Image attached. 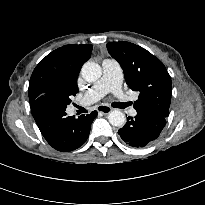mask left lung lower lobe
I'll list each match as a JSON object with an SVG mask.
<instances>
[{"label":"left lung lower lobe","instance_id":"obj_1","mask_svg":"<svg viewBox=\"0 0 205 205\" xmlns=\"http://www.w3.org/2000/svg\"><path fill=\"white\" fill-rule=\"evenodd\" d=\"M166 125V117L137 111V115L128 117L126 124L119 129L122 140L132 147H145L157 139Z\"/></svg>","mask_w":205,"mask_h":205}]
</instances>
